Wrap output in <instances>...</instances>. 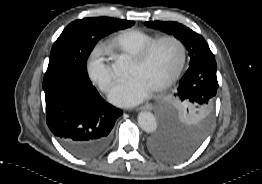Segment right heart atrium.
I'll use <instances>...</instances> for the list:
<instances>
[{
  "label": "right heart atrium",
  "instance_id": "1",
  "mask_svg": "<svg viewBox=\"0 0 262 184\" xmlns=\"http://www.w3.org/2000/svg\"><path fill=\"white\" fill-rule=\"evenodd\" d=\"M86 71L90 81L104 93L108 92L116 81L113 65L106 57V51L102 45H96L90 52Z\"/></svg>",
  "mask_w": 262,
  "mask_h": 184
}]
</instances>
